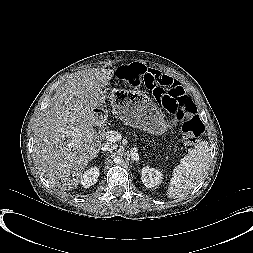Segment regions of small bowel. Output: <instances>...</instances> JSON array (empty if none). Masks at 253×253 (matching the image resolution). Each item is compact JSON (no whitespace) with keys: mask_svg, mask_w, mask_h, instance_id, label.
I'll use <instances>...</instances> for the list:
<instances>
[{"mask_svg":"<svg viewBox=\"0 0 253 253\" xmlns=\"http://www.w3.org/2000/svg\"><path fill=\"white\" fill-rule=\"evenodd\" d=\"M147 72L142 79V84L149 89L157 87L180 86V83L171 76L152 68H146Z\"/></svg>","mask_w":253,"mask_h":253,"instance_id":"c3829d8e","label":"small bowel"}]
</instances>
